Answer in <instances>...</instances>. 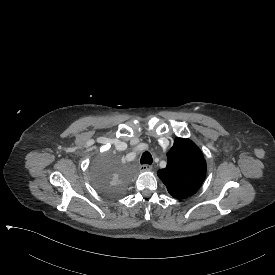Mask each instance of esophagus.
I'll return each instance as SVG.
<instances>
[{"label": "esophagus", "mask_w": 275, "mask_h": 275, "mask_svg": "<svg viewBox=\"0 0 275 275\" xmlns=\"http://www.w3.org/2000/svg\"><path fill=\"white\" fill-rule=\"evenodd\" d=\"M140 171H150L152 166L149 164H142L139 166Z\"/></svg>", "instance_id": "34e87169"}]
</instances>
